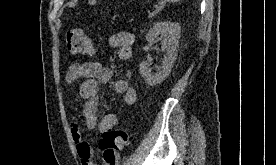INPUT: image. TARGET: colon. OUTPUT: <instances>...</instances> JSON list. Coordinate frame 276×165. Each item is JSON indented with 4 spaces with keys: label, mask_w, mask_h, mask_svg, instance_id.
I'll use <instances>...</instances> for the list:
<instances>
[{
    "label": "colon",
    "mask_w": 276,
    "mask_h": 165,
    "mask_svg": "<svg viewBox=\"0 0 276 165\" xmlns=\"http://www.w3.org/2000/svg\"><path fill=\"white\" fill-rule=\"evenodd\" d=\"M66 46L73 54L87 55L93 52L90 38L80 28H70L66 32ZM130 133L127 128L110 130L102 134L99 145L108 157L122 150L129 142Z\"/></svg>",
    "instance_id": "obj_1"
}]
</instances>
